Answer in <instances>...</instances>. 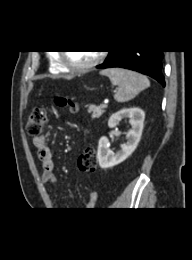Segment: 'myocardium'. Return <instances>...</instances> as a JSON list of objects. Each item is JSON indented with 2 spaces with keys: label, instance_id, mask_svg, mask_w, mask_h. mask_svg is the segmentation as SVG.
I'll return each instance as SVG.
<instances>
[{
  "label": "myocardium",
  "instance_id": "myocardium-1",
  "mask_svg": "<svg viewBox=\"0 0 192 260\" xmlns=\"http://www.w3.org/2000/svg\"><path fill=\"white\" fill-rule=\"evenodd\" d=\"M59 59H60L61 64L67 70L72 71V72H85V71H88V70L94 68L95 66H97L103 60V55L98 54L94 60H92L91 62H89L85 65H73L72 63H70L68 61L65 52L60 53Z\"/></svg>",
  "mask_w": 192,
  "mask_h": 260
}]
</instances>
